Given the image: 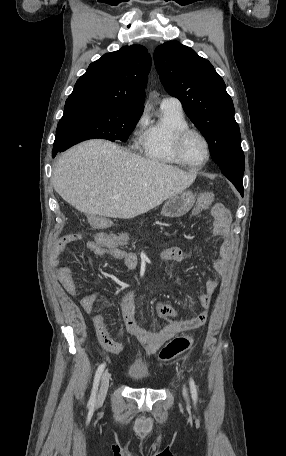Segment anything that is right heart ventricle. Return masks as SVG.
<instances>
[{
  "label": "right heart ventricle",
  "instance_id": "obj_1",
  "mask_svg": "<svg viewBox=\"0 0 286 456\" xmlns=\"http://www.w3.org/2000/svg\"><path fill=\"white\" fill-rule=\"evenodd\" d=\"M189 127L182 110L160 108L159 117L146 125L140 138V149L150 161L169 165H183L173 151V137Z\"/></svg>",
  "mask_w": 286,
  "mask_h": 456
}]
</instances>
